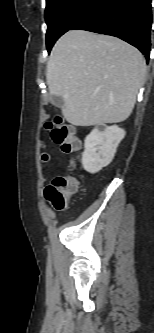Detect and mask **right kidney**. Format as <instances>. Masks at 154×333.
<instances>
[{
	"instance_id": "right-kidney-1",
	"label": "right kidney",
	"mask_w": 154,
	"mask_h": 333,
	"mask_svg": "<svg viewBox=\"0 0 154 333\" xmlns=\"http://www.w3.org/2000/svg\"><path fill=\"white\" fill-rule=\"evenodd\" d=\"M124 137L125 131L117 125L95 127L85 138V150L82 155L84 169L94 174L108 166Z\"/></svg>"
}]
</instances>
